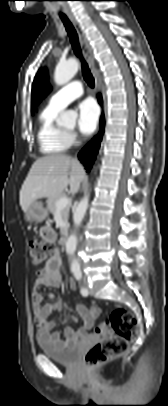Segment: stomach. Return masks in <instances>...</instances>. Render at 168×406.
<instances>
[{
    "instance_id": "obj_1",
    "label": "stomach",
    "mask_w": 168,
    "mask_h": 406,
    "mask_svg": "<svg viewBox=\"0 0 168 406\" xmlns=\"http://www.w3.org/2000/svg\"><path fill=\"white\" fill-rule=\"evenodd\" d=\"M48 216V209L42 202L35 201L25 212L24 219L27 222H42Z\"/></svg>"
}]
</instances>
